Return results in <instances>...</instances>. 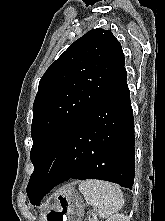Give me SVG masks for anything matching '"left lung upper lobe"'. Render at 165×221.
<instances>
[{"mask_svg": "<svg viewBox=\"0 0 165 221\" xmlns=\"http://www.w3.org/2000/svg\"><path fill=\"white\" fill-rule=\"evenodd\" d=\"M124 65L121 44L111 31L98 28L72 43L44 73L33 104L30 201L70 132Z\"/></svg>", "mask_w": 165, "mask_h": 221, "instance_id": "1", "label": "left lung upper lobe"}]
</instances>
